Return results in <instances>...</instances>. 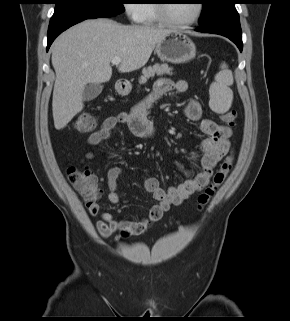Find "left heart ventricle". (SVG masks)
<instances>
[{
	"mask_svg": "<svg viewBox=\"0 0 290 321\" xmlns=\"http://www.w3.org/2000/svg\"><path fill=\"white\" fill-rule=\"evenodd\" d=\"M196 6L195 0H170L167 3V14L174 21H188L195 15Z\"/></svg>",
	"mask_w": 290,
	"mask_h": 321,
	"instance_id": "b2bd125f",
	"label": "left heart ventricle"
}]
</instances>
